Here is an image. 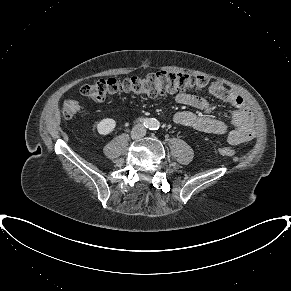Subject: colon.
Returning a JSON list of instances; mask_svg holds the SVG:
<instances>
[{
	"label": "colon",
	"mask_w": 291,
	"mask_h": 291,
	"mask_svg": "<svg viewBox=\"0 0 291 291\" xmlns=\"http://www.w3.org/2000/svg\"><path fill=\"white\" fill-rule=\"evenodd\" d=\"M222 85L205 76H192L174 72H156L146 76H135L126 79H99L82 86L83 96L95 102H103L121 94H135L157 97L165 94L182 93L187 90H220ZM81 109L79 101L70 99L64 102L62 115L71 118ZM222 156L235 157L237 151L233 147H219Z\"/></svg>",
	"instance_id": "colon-1"
}]
</instances>
